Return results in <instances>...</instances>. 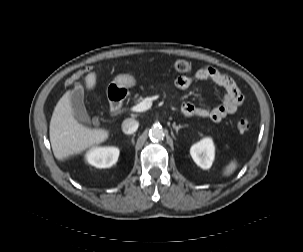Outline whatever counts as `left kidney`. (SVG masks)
Returning a JSON list of instances; mask_svg holds the SVG:
<instances>
[{"label": "left kidney", "mask_w": 303, "mask_h": 252, "mask_svg": "<svg viewBox=\"0 0 303 252\" xmlns=\"http://www.w3.org/2000/svg\"><path fill=\"white\" fill-rule=\"evenodd\" d=\"M194 162L202 169H209L215 158V146L209 137L203 138L190 149Z\"/></svg>", "instance_id": "left-kidney-1"}]
</instances>
